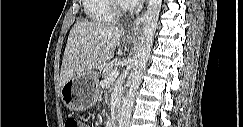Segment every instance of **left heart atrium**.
Instances as JSON below:
<instances>
[{
    "mask_svg": "<svg viewBox=\"0 0 243 127\" xmlns=\"http://www.w3.org/2000/svg\"><path fill=\"white\" fill-rule=\"evenodd\" d=\"M139 2H140V0H127V3L130 5H136Z\"/></svg>",
    "mask_w": 243,
    "mask_h": 127,
    "instance_id": "obj_1",
    "label": "left heart atrium"
}]
</instances>
